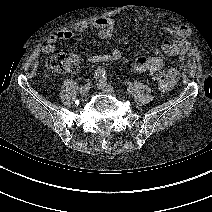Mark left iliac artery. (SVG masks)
I'll return each instance as SVG.
<instances>
[{
	"mask_svg": "<svg viewBox=\"0 0 212 212\" xmlns=\"http://www.w3.org/2000/svg\"><path fill=\"white\" fill-rule=\"evenodd\" d=\"M100 80L103 81V82H107L108 79H107L106 76H103Z\"/></svg>",
	"mask_w": 212,
	"mask_h": 212,
	"instance_id": "left-iliac-artery-1",
	"label": "left iliac artery"
}]
</instances>
